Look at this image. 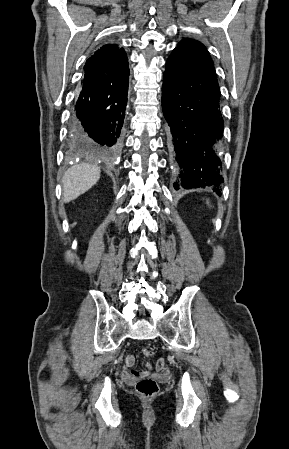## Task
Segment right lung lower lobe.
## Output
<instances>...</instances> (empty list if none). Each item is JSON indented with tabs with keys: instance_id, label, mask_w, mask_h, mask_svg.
Returning a JSON list of instances; mask_svg holds the SVG:
<instances>
[{
	"instance_id": "98d812e1",
	"label": "right lung lower lobe",
	"mask_w": 289,
	"mask_h": 449,
	"mask_svg": "<svg viewBox=\"0 0 289 449\" xmlns=\"http://www.w3.org/2000/svg\"><path fill=\"white\" fill-rule=\"evenodd\" d=\"M128 80V64L107 73L85 72L72 117V129L98 152L110 154L120 144Z\"/></svg>"
}]
</instances>
